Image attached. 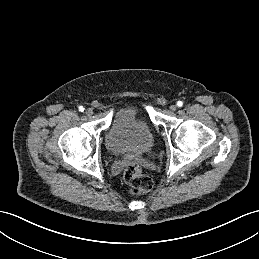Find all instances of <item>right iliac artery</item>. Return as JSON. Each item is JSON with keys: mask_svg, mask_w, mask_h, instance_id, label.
<instances>
[{"mask_svg": "<svg viewBox=\"0 0 259 259\" xmlns=\"http://www.w3.org/2000/svg\"><path fill=\"white\" fill-rule=\"evenodd\" d=\"M79 111L83 112V111H84V107H83V106H80V107H79Z\"/></svg>", "mask_w": 259, "mask_h": 259, "instance_id": "1", "label": "right iliac artery"}]
</instances>
